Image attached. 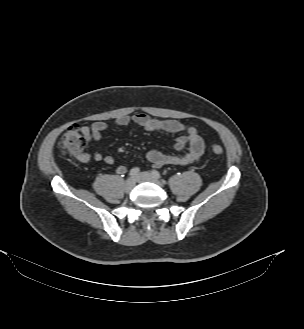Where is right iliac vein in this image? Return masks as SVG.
<instances>
[{
	"label": "right iliac vein",
	"mask_w": 304,
	"mask_h": 329,
	"mask_svg": "<svg viewBox=\"0 0 304 329\" xmlns=\"http://www.w3.org/2000/svg\"><path fill=\"white\" fill-rule=\"evenodd\" d=\"M135 184H136L135 178L127 179L125 182V190L127 192L131 191L135 187Z\"/></svg>",
	"instance_id": "obj_1"
}]
</instances>
